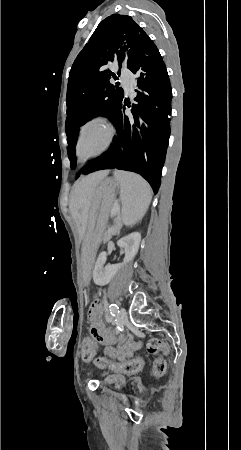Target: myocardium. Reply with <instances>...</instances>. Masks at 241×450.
<instances>
[{
  "label": "myocardium",
  "instance_id": "obj_1",
  "mask_svg": "<svg viewBox=\"0 0 241 450\" xmlns=\"http://www.w3.org/2000/svg\"><path fill=\"white\" fill-rule=\"evenodd\" d=\"M79 127H106V122H79ZM98 133V132H97ZM112 132L110 130H100L99 134L101 136L97 137L96 140H91L90 137H94L95 134L94 132H89V130H79L78 132L75 133L76 137H79L81 135V137L79 138L78 141V148H75V152L73 153V156L71 158L72 162H89V157L93 158V157H99L100 153H102V149H109V144H106V142H110L111 138H110V134ZM98 147H102V148H97ZM102 145V146H100Z\"/></svg>",
  "mask_w": 241,
  "mask_h": 450
}]
</instances>
